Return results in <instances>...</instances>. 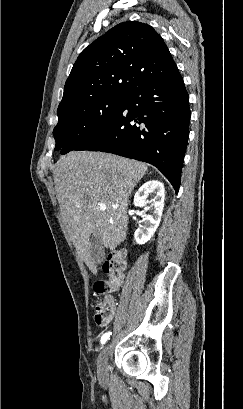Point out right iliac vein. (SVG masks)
<instances>
[{"label":"right iliac vein","mask_w":243,"mask_h":409,"mask_svg":"<svg viewBox=\"0 0 243 409\" xmlns=\"http://www.w3.org/2000/svg\"><path fill=\"white\" fill-rule=\"evenodd\" d=\"M108 354H109V345H106L102 349L101 353L98 356V360H97V372H98L99 378L101 379H104L106 377Z\"/></svg>","instance_id":"63e3f726"}]
</instances>
